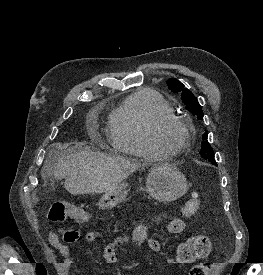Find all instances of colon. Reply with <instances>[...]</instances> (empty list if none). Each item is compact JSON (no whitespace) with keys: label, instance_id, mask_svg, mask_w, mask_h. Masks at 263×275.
<instances>
[{"label":"colon","instance_id":"1","mask_svg":"<svg viewBox=\"0 0 263 275\" xmlns=\"http://www.w3.org/2000/svg\"><path fill=\"white\" fill-rule=\"evenodd\" d=\"M199 206L200 201L198 195L195 194L183 206L181 216L190 217L194 215L198 211ZM49 219L53 222H63L67 219H72L77 222H86L90 220V214L75 205L58 202L51 207ZM211 249L212 243L209 237L205 235L190 237L178 247L176 261L180 264L193 263L207 257ZM213 268V262H201L191 269L189 275H209Z\"/></svg>","mask_w":263,"mask_h":275}]
</instances>
